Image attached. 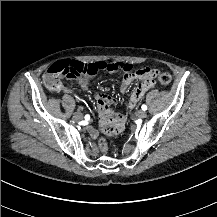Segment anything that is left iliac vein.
<instances>
[{
	"label": "left iliac vein",
	"mask_w": 217,
	"mask_h": 217,
	"mask_svg": "<svg viewBox=\"0 0 217 217\" xmlns=\"http://www.w3.org/2000/svg\"><path fill=\"white\" fill-rule=\"evenodd\" d=\"M146 116H147V113L144 110H139L136 112L137 118L144 119Z\"/></svg>",
	"instance_id": "left-iliac-vein-1"
}]
</instances>
